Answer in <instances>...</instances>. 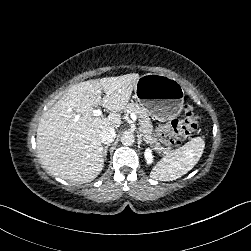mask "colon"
<instances>
[{"label":"colon","mask_w":251,"mask_h":251,"mask_svg":"<svg viewBox=\"0 0 251 251\" xmlns=\"http://www.w3.org/2000/svg\"><path fill=\"white\" fill-rule=\"evenodd\" d=\"M198 125L199 116L194 107L187 102L183 117L159 125L157 137L166 145L177 146L188 139L197 130Z\"/></svg>","instance_id":"obj_1"}]
</instances>
